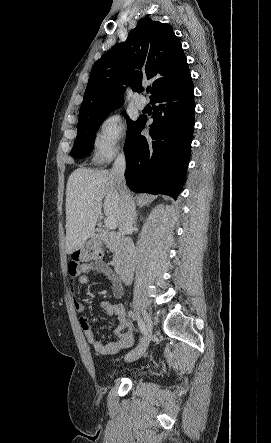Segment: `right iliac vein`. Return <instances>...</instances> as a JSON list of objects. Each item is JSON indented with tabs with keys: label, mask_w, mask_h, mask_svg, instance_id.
<instances>
[{
	"label": "right iliac vein",
	"mask_w": 271,
	"mask_h": 443,
	"mask_svg": "<svg viewBox=\"0 0 271 443\" xmlns=\"http://www.w3.org/2000/svg\"><path fill=\"white\" fill-rule=\"evenodd\" d=\"M143 316H144V320H145L147 328H148V333L140 341L139 345L125 356V361H127V362H133V361L139 359L145 353V351L149 345V342L151 340L153 323H152L151 318L149 317V315L147 313H145V311L143 312Z\"/></svg>",
	"instance_id": "63e3f726"
}]
</instances>
